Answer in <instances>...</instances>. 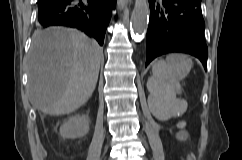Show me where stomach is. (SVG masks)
Segmentation results:
<instances>
[{"mask_svg":"<svg viewBox=\"0 0 242 160\" xmlns=\"http://www.w3.org/2000/svg\"><path fill=\"white\" fill-rule=\"evenodd\" d=\"M191 66H192L191 60L188 57L184 56L180 64V75L182 77H185L187 73L190 71Z\"/></svg>","mask_w":242,"mask_h":160,"instance_id":"stomach-1","label":"stomach"}]
</instances>
